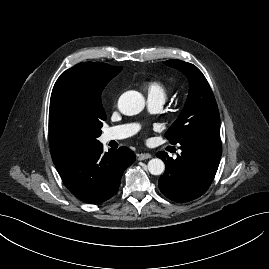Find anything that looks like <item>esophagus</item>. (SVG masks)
I'll return each mask as SVG.
<instances>
[{"mask_svg": "<svg viewBox=\"0 0 269 269\" xmlns=\"http://www.w3.org/2000/svg\"><path fill=\"white\" fill-rule=\"evenodd\" d=\"M152 156L149 153H141L138 155V160L150 159Z\"/></svg>", "mask_w": 269, "mask_h": 269, "instance_id": "obj_1", "label": "esophagus"}]
</instances>
